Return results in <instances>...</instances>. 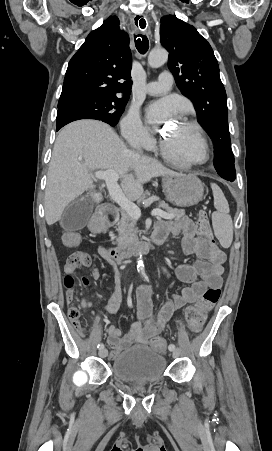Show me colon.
Returning a JSON list of instances; mask_svg holds the SVG:
<instances>
[{
  "mask_svg": "<svg viewBox=\"0 0 272 451\" xmlns=\"http://www.w3.org/2000/svg\"><path fill=\"white\" fill-rule=\"evenodd\" d=\"M198 226L202 231L201 238L203 240L204 246L209 249H214L216 244L212 238V231L209 224V219L206 211L202 210L198 216ZM63 239H66V249L67 250H76L77 249V232L76 230H63L62 232ZM91 264V258L86 252H72L69 254L66 261V269H85L89 267ZM63 288L64 289H75L76 281L72 280V277L69 274H66L63 277ZM222 290L220 288H210L204 292L200 299V303L198 306H190L185 311V318L189 324V328L193 332L199 331L200 327L203 324L205 318V312L209 311L213 306H215L220 297ZM69 316L71 318L72 324L82 331L78 318L79 311L77 309H71L69 312ZM155 351H169L170 344L166 342L165 339H156L154 344Z\"/></svg>",
  "mask_w": 272,
  "mask_h": 451,
  "instance_id": "colon-1",
  "label": "colon"
}]
</instances>
